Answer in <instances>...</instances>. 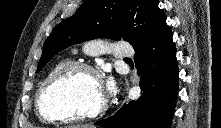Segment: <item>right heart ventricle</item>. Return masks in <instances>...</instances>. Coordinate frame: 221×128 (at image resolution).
<instances>
[{
    "mask_svg": "<svg viewBox=\"0 0 221 128\" xmlns=\"http://www.w3.org/2000/svg\"><path fill=\"white\" fill-rule=\"evenodd\" d=\"M70 62V59L68 57H64L59 59L48 71L45 79H47L51 74H53L54 72H56L57 70L61 69L63 66H65L66 64H68ZM44 79V80H45Z\"/></svg>",
    "mask_w": 221,
    "mask_h": 128,
    "instance_id": "1",
    "label": "right heart ventricle"
}]
</instances>
